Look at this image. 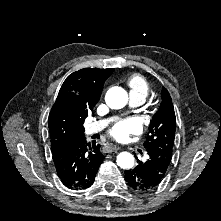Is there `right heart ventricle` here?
Masks as SVG:
<instances>
[{
  "label": "right heart ventricle",
  "mask_w": 221,
  "mask_h": 221,
  "mask_svg": "<svg viewBox=\"0 0 221 221\" xmlns=\"http://www.w3.org/2000/svg\"><path fill=\"white\" fill-rule=\"evenodd\" d=\"M127 85L130 88V95H138L146 99L150 92L148 80L141 74H133L127 79Z\"/></svg>",
  "instance_id": "obj_1"
}]
</instances>
